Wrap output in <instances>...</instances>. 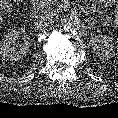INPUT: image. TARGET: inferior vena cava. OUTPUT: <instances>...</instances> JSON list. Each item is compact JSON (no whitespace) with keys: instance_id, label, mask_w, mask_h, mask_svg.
Returning a JSON list of instances; mask_svg holds the SVG:
<instances>
[{"instance_id":"1","label":"inferior vena cava","mask_w":118,"mask_h":118,"mask_svg":"<svg viewBox=\"0 0 118 118\" xmlns=\"http://www.w3.org/2000/svg\"><path fill=\"white\" fill-rule=\"evenodd\" d=\"M51 20V18L49 16H41L39 17L36 22H35V26L36 28H42L44 27L49 21Z\"/></svg>"}]
</instances>
